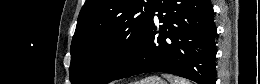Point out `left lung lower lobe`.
Masks as SVG:
<instances>
[{"instance_id": "0a47b994", "label": "left lung lower lobe", "mask_w": 260, "mask_h": 84, "mask_svg": "<svg viewBox=\"0 0 260 84\" xmlns=\"http://www.w3.org/2000/svg\"><path fill=\"white\" fill-rule=\"evenodd\" d=\"M216 32L210 0H156L135 56L111 81L165 72L215 84Z\"/></svg>"}]
</instances>
